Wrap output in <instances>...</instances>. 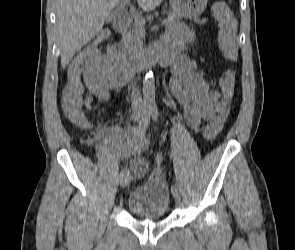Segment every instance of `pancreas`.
<instances>
[{
  "instance_id": "1",
  "label": "pancreas",
  "mask_w": 295,
  "mask_h": 250,
  "mask_svg": "<svg viewBox=\"0 0 295 250\" xmlns=\"http://www.w3.org/2000/svg\"><path fill=\"white\" fill-rule=\"evenodd\" d=\"M168 24L167 26H171L173 24L179 23L180 15L169 11L168 13ZM197 23H205L206 19L199 20L197 18L194 19ZM144 25H140L137 21L133 23L132 30H130L125 35V47L130 54L140 53L143 49V39H144Z\"/></svg>"
}]
</instances>
